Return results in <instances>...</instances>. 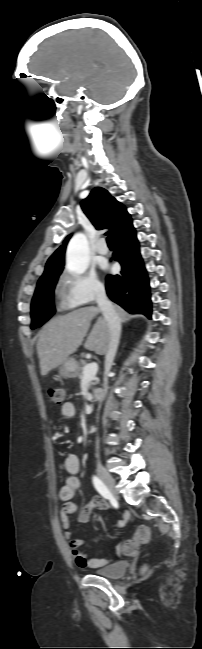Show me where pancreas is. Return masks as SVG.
<instances>
[{"instance_id":"1","label":"pancreas","mask_w":202,"mask_h":649,"mask_svg":"<svg viewBox=\"0 0 202 649\" xmlns=\"http://www.w3.org/2000/svg\"><path fill=\"white\" fill-rule=\"evenodd\" d=\"M85 366H86L85 361H81L80 365L78 366L76 376H78L80 379L83 378V369H84ZM97 382H98V380H96L94 383H92V385H95Z\"/></svg>"}]
</instances>
